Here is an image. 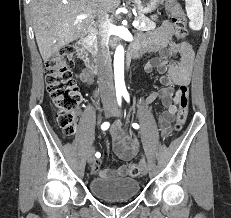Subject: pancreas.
<instances>
[{
    "mask_svg": "<svg viewBox=\"0 0 231 218\" xmlns=\"http://www.w3.org/2000/svg\"><path fill=\"white\" fill-rule=\"evenodd\" d=\"M136 19L139 23H144L143 26L139 25L136 27L139 31H149L155 28V23L148 19L143 13H139Z\"/></svg>",
    "mask_w": 231,
    "mask_h": 218,
    "instance_id": "pancreas-1",
    "label": "pancreas"
}]
</instances>
